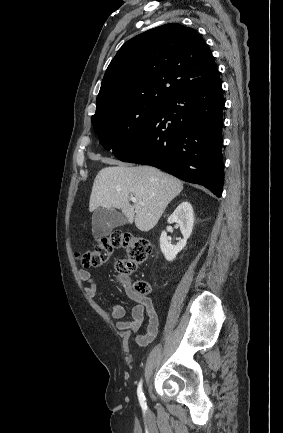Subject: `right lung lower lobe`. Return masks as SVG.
<instances>
[{
    "label": "right lung lower lobe",
    "mask_w": 283,
    "mask_h": 433,
    "mask_svg": "<svg viewBox=\"0 0 283 433\" xmlns=\"http://www.w3.org/2000/svg\"><path fill=\"white\" fill-rule=\"evenodd\" d=\"M220 78L169 99L123 152L124 162L151 165L184 181L223 191Z\"/></svg>",
    "instance_id": "obj_1"
}]
</instances>
